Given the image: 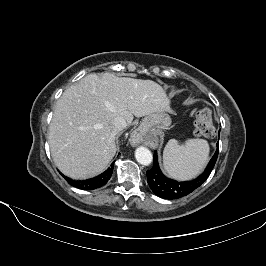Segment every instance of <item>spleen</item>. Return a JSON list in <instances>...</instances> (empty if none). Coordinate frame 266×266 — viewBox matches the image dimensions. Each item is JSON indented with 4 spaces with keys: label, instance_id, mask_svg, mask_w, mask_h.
<instances>
[{
    "label": "spleen",
    "instance_id": "obj_1",
    "mask_svg": "<svg viewBox=\"0 0 266 266\" xmlns=\"http://www.w3.org/2000/svg\"><path fill=\"white\" fill-rule=\"evenodd\" d=\"M209 152V144L204 139H188L181 145L171 139L163 151L164 169L173 178L192 179L206 166Z\"/></svg>",
    "mask_w": 266,
    "mask_h": 266
}]
</instances>
